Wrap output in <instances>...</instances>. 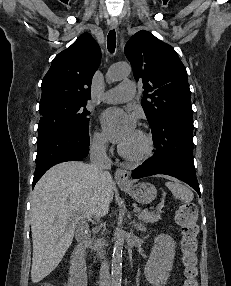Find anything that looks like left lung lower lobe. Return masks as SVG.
Masks as SVG:
<instances>
[{"mask_svg":"<svg viewBox=\"0 0 231 286\" xmlns=\"http://www.w3.org/2000/svg\"><path fill=\"white\" fill-rule=\"evenodd\" d=\"M154 155L132 171L134 179L155 174L176 177L200 195L193 161L192 116L169 114L152 127Z\"/></svg>","mask_w":231,"mask_h":286,"instance_id":"1","label":"left lung lower lobe"}]
</instances>
